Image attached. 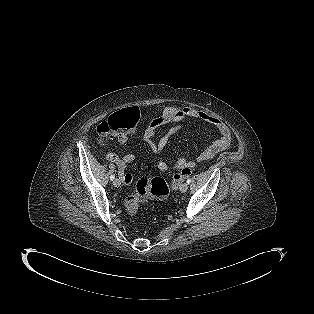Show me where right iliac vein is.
<instances>
[{
	"mask_svg": "<svg viewBox=\"0 0 314 314\" xmlns=\"http://www.w3.org/2000/svg\"><path fill=\"white\" fill-rule=\"evenodd\" d=\"M120 184H121V181H120V179H118V178H116V179L113 181V185H114L115 187H119Z\"/></svg>",
	"mask_w": 314,
	"mask_h": 314,
	"instance_id": "63e3f726",
	"label": "right iliac vein"
}]
</instances>
